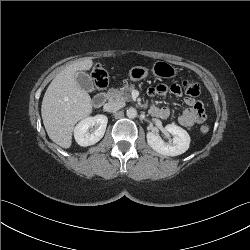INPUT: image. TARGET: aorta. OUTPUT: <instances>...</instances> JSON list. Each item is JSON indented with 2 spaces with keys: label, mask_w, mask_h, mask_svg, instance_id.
I'll return each mask as SVG.
<instances>
[{
  "label": "aorta",
  "mask_w": 250,
  "mask_h": 250,
  "mask_svg": "<svg viewBox=\"0 0 250 250\" xmlns=\"http://www.w3.org/2000/svg\"><path fill=\"white\" fill-rule=\"evenodd\" d=\"M128 118H135L137 116V110L135 108H129L126 112Z\"/></svg>",
  "instance_id": "762f6f07"
}]
</instances>
